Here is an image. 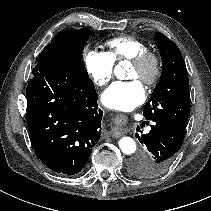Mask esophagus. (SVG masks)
I'll return each mask as SVG.
<instances>
[{
	"mask_svg": "<svg viewBox=\"0 0 211 211\" xmlns=\"http://www.w3.org/2000/svg\"><path fill=\"white\" fill-rule=\"evenodd\" d=\"M120 116H123V115H120ZM113 136L117 138V137L120 136V133H116V134H114Z\"/></svg>",
	"mask_w": 211,
	"mask_h": 211,
	"instance_id": "esophagus-1",
	"label": "esophagus"
}]
</instances>
